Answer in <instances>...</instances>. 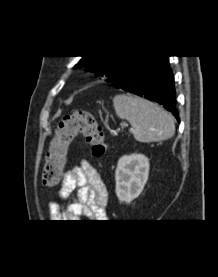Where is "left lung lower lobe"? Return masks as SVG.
<instances>
[{
    "instance_id": "0a47b994",
    "label": "left lung lower lobe",
    "mask_w": 218,
    "mask_h": 277,
    "mask_svg": "<svg viewBox=\"0 0 218 277\" xmlns=\"http://www.w3.org/2000/svg\"><path fill=\"white\" fill-rule=\"evenodd\" d=\"M106 81L120 89L156 101L180 121L176 109L174 77L167 56H136Z\"/></svg>"
}]
</instances>
